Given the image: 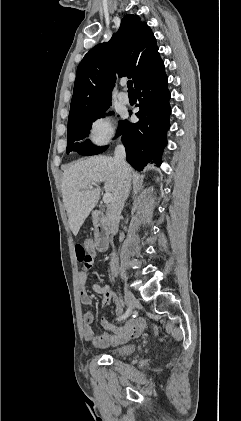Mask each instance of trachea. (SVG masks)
I'll list each match as a JSON object with an SVG mask.
<instances>
[{
	"label": "trachea",
	"instance_id": "obj_1",
	"mask_svg": "<svg viewBox=\"0 0 241 421\" xmlns=\"http://www.w3.org/2000/svg\"><path fill=\"white\" fill-rule=\"evenodd\" d=\"M128 92H134L133 83L131 80L127 82Z\"/></svg>",
	"mask_w": 241,
	"mask_h": 421
}]
</instances>
